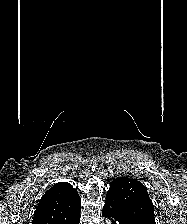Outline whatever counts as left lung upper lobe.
<instances>
[{
  "label": "left lung upper lobe",
  "instance_id": "1",
  "mask_svg": "<svg viewBox=\"0 0 187 224\" xmlns=\"http://www.w3.org/2000/svg\"><path fill=\"white\" fill-rule=\"evenodd\" d=\"M107 196L112 197L130 219L143 224H156L153 203L147 188L140 181L117 178L112 181Z\"/></svg>",
  "mask_w": 187,
  "mask_h": 224
}]
</instances>
